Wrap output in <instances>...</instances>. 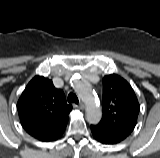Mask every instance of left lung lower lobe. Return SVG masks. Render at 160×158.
<instances>
[{
  "label": "left lung lower lobe",
  "instance_id": "left-lung-lower-lobe-1",
  "mask_svg": "<svg viewBox=\"0 0 160 158\" xmlns=\"http://www.w3.org/2000/svg\"><path fill=\"white\" fill-rule=\"evenodd\" d=\"M93 137L102 144H117L123 141L126 136L114 131H111L97 124L91 126Z\"/></svg>",
  "mask_w": 160,
  "mask_h": 158
}]
</instances>
